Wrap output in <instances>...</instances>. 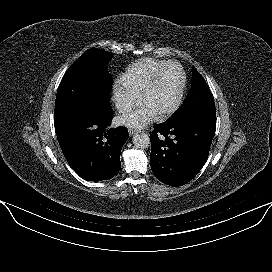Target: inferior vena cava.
Here are the masks:
<instances>
[{
  "instance_id": "obj_1",
  "label": "inferior vena cava",
  "mask_w": 272,
  "mask_h": 272,
  "mask_svg": "<svg viewBox=\"0 0 272 272\" xmlns=\"http://www.w3.org/2000/svg\"><path fill=\"white\" fill-rule=\"evenodd\" d=\"M116 107L119 111L126 112L131 109L132 104L129 101L122 100L116 104Z\"/></svg>"
}]
</instances>
